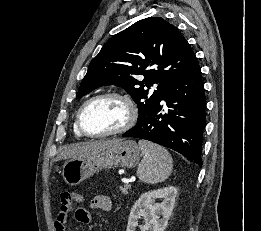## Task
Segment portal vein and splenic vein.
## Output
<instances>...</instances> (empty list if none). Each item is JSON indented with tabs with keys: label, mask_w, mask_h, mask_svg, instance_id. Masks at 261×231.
<instances>
[{
	"label": "portal vein and splenic vein",
	"mask_w": 261,
	"mask_h": 231,
	"mask_svg": "<svg viewBox=\"0 0 261 231\" xmlns=\"http://www.w3.org/2000/svg\"><path fill=\"white\" fill-rule=\"evenodd\" d=\"M124 182H125V185H126V186H130L129 183L132 182V180H125Z\"/></svg>",
	"instance_id": "18ae733b"
}]
</instances>
